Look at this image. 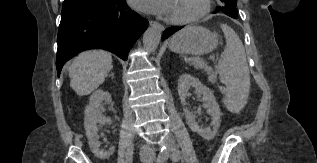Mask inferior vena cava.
<instances>
[{
  "label": "inferior vena cava",
  "mask_w": 317,
  "mask_h": 163,
  "mask_svg": "<svg viewBox=\"0 0 317 163\" xmlns=\"http://www.w3.org/2000/svg\"><path fill=\"white\" fill-rule=\"evenodd\" d=\"M140 155L141 157H153L154 151L150 146L144 145L140 149Z\"/></svg>",
  "instance_id": "obj_1"
}]
</instances>
